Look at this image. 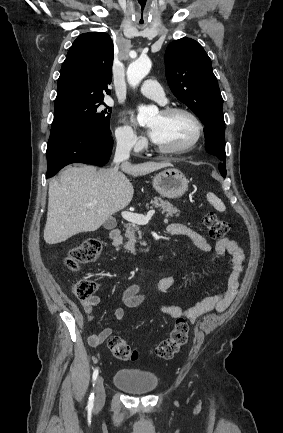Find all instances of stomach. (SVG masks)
Returning <instances> with one entry per match:
<instances>
[{
    "instance_id": "0dacf381",
    "label": "stomach",
    "mask_w": 283,
    "mask_h": 433,
    "mask_svg": "<svg viewBox=\"0 0 283 433\" xmlns=\"http://www.w3.org/2000/svg\"><path fill=\"white\" fill-rule=\"evenodd\" d=\"M155 190L166 196V198H178L186 192L188 188V180L177 168H166L162 170L159 174H156L152 182Z\"/></svg>"
}]
</instances>
